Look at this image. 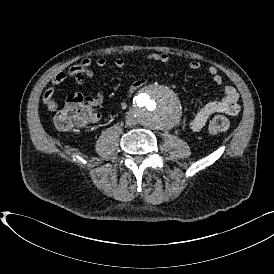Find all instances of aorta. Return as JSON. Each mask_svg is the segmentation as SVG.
<instances>
[{
	"label": "aorta",
	"instance_id": "obj_1",
	"mask_svg": "<svg viewBox=\"0 0 274 274\" xmlns=\"http://www.w3.org/2000/svg\"><path fill=\"white\" fill-rule=\"evenodd\" d=\"M136 108L142 125L153 129L171 127L181 115L177 95L167 86L152 84L136 98Z\"/></svg>",
	"mask_w": 274,
	"mask_h": 274
}]
</instances>
